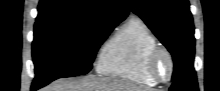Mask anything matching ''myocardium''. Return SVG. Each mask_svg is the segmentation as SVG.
Instances as JSON below:
<instances>
[{"mask_svg":"<svg viewBox=\"0 0 220 91\" xmlns=\"http://www.w3.org/2000/svg\"><path fill=\"white\" fill-rule=\"evenodd\" d=\"M162 58L167 60L169 66V72L166 78L161 77L158 71V64ZM145 69L147 74L157 83L169 82L174 73V60L169 50L161 46L155 47L147 56Z\"/></svg>","mask_w":220,"mask_h":91,"instance_id":"f54148a6","label":"myocardium"}]
</instances>
